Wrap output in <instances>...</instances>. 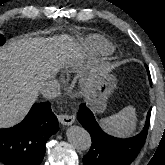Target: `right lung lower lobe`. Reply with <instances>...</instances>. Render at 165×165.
Instances as JSON below:
<instances>
[{
	"mask_svg": "<svg viewBox=\"0 0 165 165\" xmlns=\"http://www.w3.org/2000/svg\"><path fill=\"white\" fill-rule=\"evenodd\" d=\"M59 130L50 102L34 104L18 125L0 129V162L5 165H39L47 139Z\"/></svg>",
	"mask_w": 165,
	"mask_h": 165,
	"instance_id": "98d812e1",
	"label": "right lung lower lobe"
}]
</instances>
